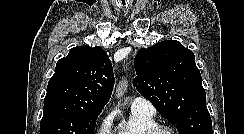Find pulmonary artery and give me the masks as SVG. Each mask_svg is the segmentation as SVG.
I'll use <instances>...</instances> for the list:
<instances>
[{
    "label": "pulmonary artery",
    "instance_id": "1",
    "mask_svg": "<svg viewBox=\"0 0 244 134\" xmlns=\"http://www.w3.org/2000/svg\"><path fill=\"white\" fill-rule=\"evenodd\" d=\"M131 110L139 111L142 113H146L149 115L155 114L154 106L145 98L143 97H135L131 102Z\"/></svg>",
    "mask_w": 244,
    "mask_h": 134
}]
</instances>
